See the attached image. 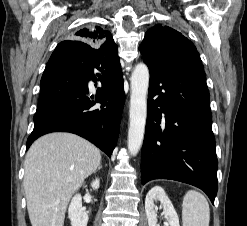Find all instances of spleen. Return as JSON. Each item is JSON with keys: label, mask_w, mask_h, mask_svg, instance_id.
<instances>
[{"label": "spleen", "mask_w": 247, "mask_h": 226, "mask_svg": "<svg viewBox=\"0 0 247 226\" xmlns=\"http://www.w3.org/2000/svg\"><path fill=\"white\" fill-rule=\"evenodd\" d=\"M183 226H209L210 208L206 198L199 192L190 190L182 204Z\"/></svg>", "instance_id": "3e777b00"}]
</instances>
